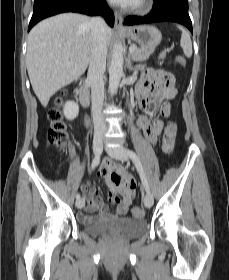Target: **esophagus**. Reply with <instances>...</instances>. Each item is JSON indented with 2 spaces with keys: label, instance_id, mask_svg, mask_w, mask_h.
Segmentation results:
<instances>
[{
  "label": "esophagus",
  "instance_id": "esophagus-1",
  "mask_svg": "<svg viewBox=\"0 0 229 280\" xmlns=\"http://www.w3.org/2000/svg\"><path fill=\"white\" fill-rule=\"evenodd\" d=\"M114 16H115V28L117 30H127V28L124 27L123 25L122 15L119 12L115 11Z\"/></svg>",
  "mask_w": 229,
  "mask_h": 280
}]
</instances>
